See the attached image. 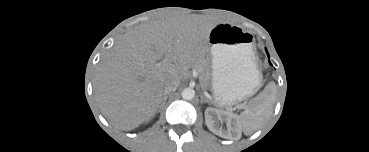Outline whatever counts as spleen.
Returning <instances> with one entry per match:
<instances>
[{"label":"spleen","mask_w":369,"mask_h":152,"mask_svg":"<svg viewBox=\"0 0 369 152\" xmlns=\"http://www.w3.org/2000/svg\"><path fill=\"white\" fill-rule=\"evenodd\" d=\"M275 83L270 82L251 103L249 108L239 115V122L245 134L258 130L270 117L275 101Z\"/></svg>","instance_id":"spleen-1"}]
</instances>
